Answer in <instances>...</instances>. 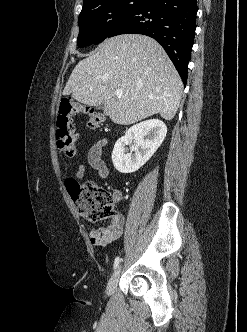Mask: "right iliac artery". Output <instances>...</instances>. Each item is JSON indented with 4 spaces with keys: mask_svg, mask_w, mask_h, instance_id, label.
<instances>
[{
    "mask_svg": "<svg viewBox=\"0 0 247 332\" xmlns=\"http://www.w3.org/2000/svg\"><path fill=\"white\" fill-rule=\"evenodd\" d=\"M119 262H120V258L116 257L115 261H114V269H116L118 267Z\"/></svg>",
    "mask_w": 247,
    "mask_h": 332,
    "instance_id": "obj_1",
    "label": "right iliac artery"
}]
</instances>
